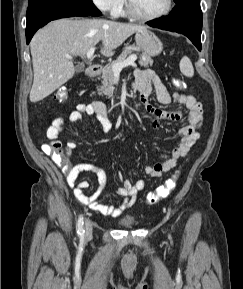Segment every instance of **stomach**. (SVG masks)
Masks as SVG:
<instances>
[{
  "label": "stomach",
  "mask_w": 243,
  "mask_h": 289,
  "mask_svg": "<svg viewBox=\"0 0 243 289\" xmlns=\"http://www.w3.org/2000/svg\"><path fill=\"white\" fill-rule=\"evenodd\" d=\"M135 41L144 53L149 56H156L163 49L161 40L147 28L136 32Z\"/></svg>",
  "instance_id": "1"
}]
</instances>
